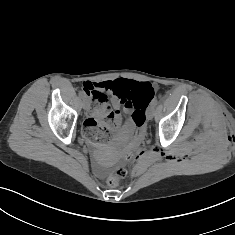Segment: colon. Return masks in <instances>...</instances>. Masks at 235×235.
I'll use <instances>...</instances> for the list:
<instances>
[{"instance_id": "5ec220e1", "label": "colon", "mask_w": 235, "mask_h": 235, "mask_svg": "<svg viewBox=\"0 0 235 235\" xmlns=\"http://www.w3.org/2000/svg\"><path fill=\"white\" fill-rule=\"evenodd\" d=\"M129 88H132V92L135 93V96H137V99L142 95H146L151 99L154 95L153 88L148 83H141L138 87H136V85L131 83ZM136 101L137 100H134L136 111L134 112L133 118H134L136 125L140 129H143L145 121H146L145 112H144V109L141 108V106ZM124 173H125V170L120 169V168L110 173L107 178L108 185L111 187H115L118 184L120 177H122Z\"/></svg>"}]
</instances>
